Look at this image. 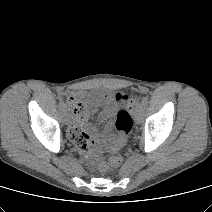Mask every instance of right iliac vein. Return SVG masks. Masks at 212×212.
Returning a JSON list of instances; mask_svg holds the SVG:
<instances>
[{"instance_id":"right-iliac-vein-1","label":"right iliac vein","mask_w":212,"mask_h":212,"mask_svg":"<svg viewBox=\"0 0 212 212\" xmlns=\"http://www.w3.org/2000/svg\"><path fill=\"white\" fill-rule=\"evenodd\" d=\"M63 121L65 124H69L70 122V115L67 111H64L63 113Z\"/></svg>"}]
</instances>
